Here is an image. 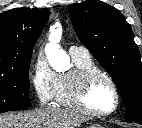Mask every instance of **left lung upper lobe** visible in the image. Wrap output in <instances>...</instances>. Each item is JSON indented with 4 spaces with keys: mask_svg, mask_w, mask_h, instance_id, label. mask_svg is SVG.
<instances>
[{
    "mask_svg": "<svg viewBox=\"0 0 142 128\" xmlns=\"http://www.w3.org/2000/svg\"><path fill=\"white\" fill-rule=\"evenodd\" d=\"M74 29L117 85L127 122L142 125V63L130 25L116 8L99 0L69 7Z\"/></svg>",
    "mask_w": 142,
    "mask_h": 128,
    "instance_id": "5c2ea615",
    "label": "left lung upper lobe"
}]
</instances>
